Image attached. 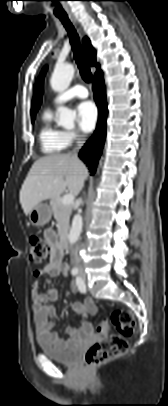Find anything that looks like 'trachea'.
I'll list each match as a JSON object with an SVG mask.
<instances>
[{"instance_id":"trachea-1","label":"trachea","mask_w":168,"mask_h":406,"mask_svg":"<svg viewBox=\"0 0 168 406\" xmlns=\"http://www.w3.org/2000/svg\"><path fill=\"white\" fill-rule=\"evenodd\" d=\"M59 19L68 32V35L70 38V44H71V47H72V50L74 53V59L79 68L81 77L83 78L84 81L91 82L92 73L90 71L88 63H87L84 53L82 51V47L80 45V39H79V36H78L75 28L73 27L72 23L70 22V20L68 18L59 17Z\"/></svg>"}]
</instances>
